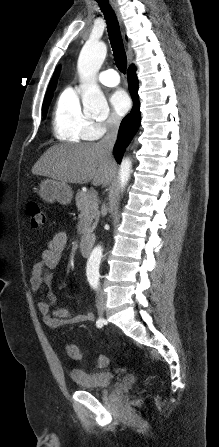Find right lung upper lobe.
I'll return each mask as SVG.
<instances>
[{
	"instance_id": "right-lung-upper-lobe-1",
	"label": "right lung upper lobe",
	"mask_w": 219,
	"mask_h": 447,
	"mask_svg": "<svg viewBox=\"0 0 219 447\" xmlns=\"http://www.w3.org/2000/svg\"><path fill=\"white\" fill-rule=\"evenodd\" d=\"M59 70H60V68L58 67L56 72H55V74H54V76H53V78H52V80H51V82H50V84H49V89L46 92L45 99L50 97V96H52V91L55 89V85H56V82H57Z\"/></svg>"
}]
</instances>
